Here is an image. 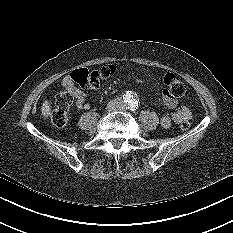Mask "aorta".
I'll list each match as a JSON object with an SVG mask.
<instances>
[{"label": "aorta", "mask_w": 233, "mask_h": 233, "mask_svg": "<svg viewBox=\"0 0 233 233\" xmlns=\"http://www.w3.org/2000/svg\"><path fill=\"white\" fill-rule=\"evenodd\" d=\"M128 105L130 108H135L138 106V102L136 99H131L129 102H128Z\"/></svg>", "instance_id": "aorta-1"}]
</instances>
